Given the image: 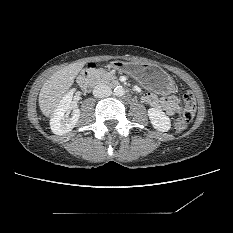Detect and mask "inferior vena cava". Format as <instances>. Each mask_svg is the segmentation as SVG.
<instances>
[{
	"mask_svg": "<svg viewBox=\"0 0 233 233\" xmlns=\"http://www.w3.org/2000/svg\"><path fill=\"white\" fill-rule=\"evenodd\" d=\"M111 94H112V91H111L110 87L107 86L106 84H102V83L98 84L93 89V95L96 98L108 97Z\"/></svg>",
	"mask_w": 233,
	"mask_h": 233,
	"instance_id": "obj_1",
	"label": "inferior vena cava"
}]
</instances>
